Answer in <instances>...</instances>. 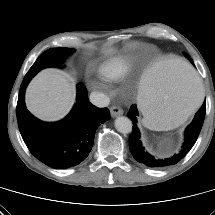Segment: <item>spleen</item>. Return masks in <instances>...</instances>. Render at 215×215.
Listing matches in <instances>:
<instances>
[{
	"label": "spleen",
	"instance_id": "3e777b00",
	"mask_svg": "<svg viewBox=\"0 0 215 215\" xmlns=\"http://www.w3.org/2000/svg\"><path fill=\"white\" fill-rule=\"evenodd\" d=\"M203 93L202 82L186 61L170 58L156 63L140 81L138 104L144 125L166 130L184 122Z\"/></svg>",
	"mask_w": 215,
	"mask_h": 215
}]
</instances>
